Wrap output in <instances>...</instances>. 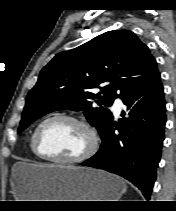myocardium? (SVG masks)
Listing matches in <instances>:
<instances>
[{
  "label": "myocardium",
  "mask_w": 176,
  "mask_h": 211,
  "mask_svg": "<svg viewBox=\"0 0 176 211\" xmlns=\"http://www.w3.org/2000/svg\"><path fill=\"white\" fill-rule=\"evenodd\" d=\"M55 120L71 121L73 123L80 125L86 130L89 136V145L87 149L81 155L77 157H73V158H61V157L50 156L42 152L40 143H39L40 131L46 124ZM32 143H33V148H34L35 153L41 159L57 162V163H62V164H76V163L84 162L97 151L98 145H99V137L95 128L91 124H89L86 120L74 115L61 113V114H55V115L49 116L37 125V127L35 128L32 134Z\"/></svg>",
  "instance_id": "obj_1"
}]
</instances>
